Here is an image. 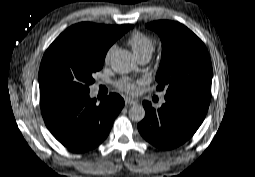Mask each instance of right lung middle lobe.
I'll return each mask as SVG.
<instances>
[{"label": "right lung middle lobe", "mask_w": 255, "mask_h": 177, "mask_svg": "<svg viewBox=\"0 0 255 177\" xmlns=\"http://www.w3.org/2000/svg\"><path fill=\"white\" fill-rule=\"evenodd\" d=\"M133 26L123 25L122 36ZM109 44L71 33H62L45 52L40 70V95L54 92H87L92 74L104 63Z\"/></svg>", "instance_id": "1"}]
</instances>
